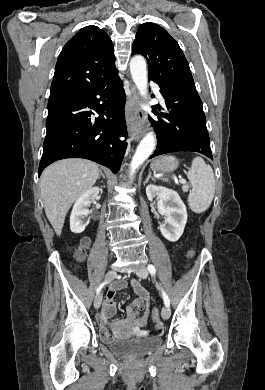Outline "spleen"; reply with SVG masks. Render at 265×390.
Returning a JSON list of instances; mask_svg holds the SVG:
<instances>
[{
	"label": "spleen",
	"instance_id": "obj_1",
	"mask_svg": "<svg viewBox=\"0 0 265 390\" xmlns=\"http://www.w3.org/2000/svg\"><path fill=\"white\" fill-rule=\"evenodd\" d=\"M187 178L192 185V192L188 195V204L195 213L206 211L215 193V178L210 165L201 157L192 160Z\"/></svg>",
	"mask_w": 265,
	"mask_h": 390
}]
</instances>
